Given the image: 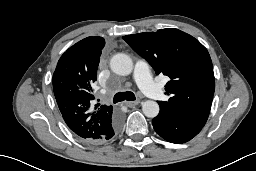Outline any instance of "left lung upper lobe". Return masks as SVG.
Instances as JSON below:
<instances>
[{
	"label": "left lung upper lobe",
	"mask_w": 256,
	"mask_h": 171,
	"mask_svg": "<svg viewBox=\"0 0 256 171\" xmlns=\"http://www.w3.org/2000/svg\"><path fill=\"white\" fill-rule=\"evenodd\" d=\"M123 39L157 74L170 78L165 85L170 98L158 104L174 108L204 126L215 90L212 61L206 48L191 35L173 28L127 35Z\"/></svg>",
	"instance_id": "5c2ea615"
}]
</instances>
